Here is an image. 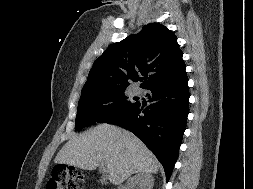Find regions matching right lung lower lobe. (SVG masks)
Here are the masks:
<instances>
[{"instance_id":"1","label":"right lung lower lobe","mask_w":253,"mask_h":189,"mask_svg":"<svg viewBox=\"0 0 253 189\" xmlns=\"http://www.w3.org/2000/svg\"><path fill=\"white\" fill-rule=\"evenodd\" d=\"M187 75L146 88L148 107L137 102L107 123L123 126L140 138L163 165L166 180L172 174L189 113Z\"/></svg>"}]
</instances>
